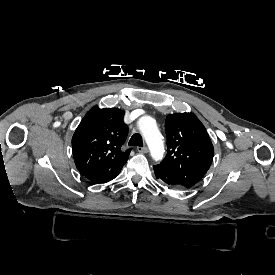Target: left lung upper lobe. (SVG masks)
Segmentation results:
<instances>
[{
    "mask_svg": "<svg viewBox=\"0 0 275 275\" xmlns=\"http://www.w3.org/2000/svg\"><path fill=\"white\" fill-rule=\"evenodd\" d=\"M167 155L158 164L185 188L195 185L208 171L214 154L210 137L192 113L170 114L166 118Z\"/></svg>",
    "mask_w": 275,
    "mask_h": 275,
    "instance_id": "left-lung-upper-lobe-1",
    "label": "left lung upper lobe"
}]
</instances>
